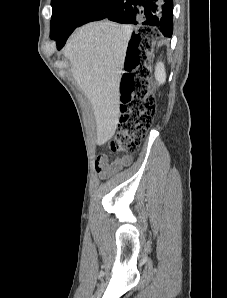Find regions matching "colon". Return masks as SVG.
Here are the masks:
<instances>
[{"label": "colon", "instance_id": "colon-1", "mask_svg": "<svg viewBox=\"0 0 227 298\" xmlns=\"http://www.w3.org/2000/svg\"><path fill=\"white\" fill-rule=\"evenodd\" d=\"M147 32L144 30L134 38L125 62V72L119 86V125L109 142V148L113 152L138 151L156 113L148 65L153 44L145 39Z\"/></svg>", "mask_w": 227, "mask_h": 298}]
</instances>
